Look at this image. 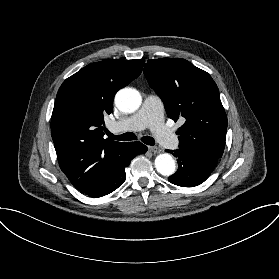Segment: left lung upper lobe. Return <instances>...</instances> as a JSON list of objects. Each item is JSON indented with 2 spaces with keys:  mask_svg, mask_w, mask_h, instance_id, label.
I'll return each mask as SVG.
<instances>
[{
  "mask_svg": "<svg viewBox=\"0 0 279 279\" xmlns=\"http://www.w3.org/2000/svg\"><path fill=\"white\" fill-rule=\"evenodd\" d=\"M144 75L162 99L169 118L185 123L176 132L179 148L219 159L224 151L227 117L212 77L185 59L148 60Z\"/></svg>",
  "mask_w": 279,
  "mask_h": 279,
  "instance_id": "1",
  "label": "left lung upper lobe"
}]
</instances>
